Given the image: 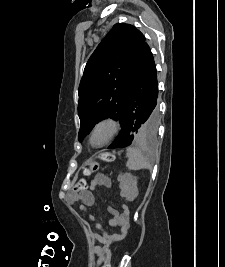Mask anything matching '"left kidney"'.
<instances>
[{
    "instance_id": "obj_1",
    "label": "left kidney",
    "mask_w": 225,
    "mask_h": 267,
    "mask_svg": "<svg viewBox=\"0 0 225 267\" xmlns=\"http://www.w3.org/2000/svg\"><path fill=\"white\" fill-rule=\"evenodd\" d=\"M118 181L121 197H124L126 201H133L138 196L137 179L129 173H124L118 176Z\"/></svg>"
}]
</instances>
